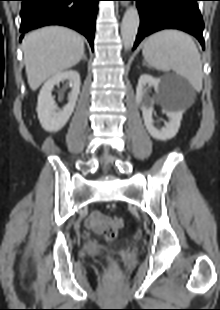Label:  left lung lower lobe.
Returning <instances> with one entry per match:
<instances>
[{"label":"left lung lower lobe","mask_w":220,"mask_h":310,"mask_svg":"<svg viewBox=\"0 0 220 310\" xmlns=\"http://www.w3.org/2000/svg\"><path fill=\"white\" fill-rule=\"evenodd\" d=\"M140 14V28L134 48L146 36L163 29H178L195 36L205 48L199 0H133Z\"/></svg>","instance_id":"obj_1"}]
</instances>
